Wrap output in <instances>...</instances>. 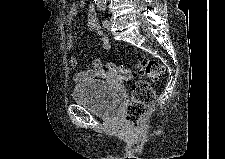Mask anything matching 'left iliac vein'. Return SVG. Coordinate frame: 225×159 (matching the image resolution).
Instances as JSON below:
<instances>
[{
	"label": "left iliac vein",
	"instance_id": "left-iliac-vein-1",
	"mask_svg": "<svg viewBox=\"0 0 225 159\" xmlns=\"http://www.w3.org/2000/svg\"><path fill=\"white\" fill-rule=\"evenodd\" d=\"M112 24H113V19L110 18V19L108 20V25H107L105 28L109 30V29L112 27Z\"/></svg>",
	"mask_w": 225,
	"mask_h": 159
}]
</instances>
